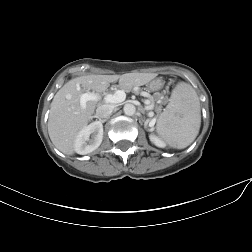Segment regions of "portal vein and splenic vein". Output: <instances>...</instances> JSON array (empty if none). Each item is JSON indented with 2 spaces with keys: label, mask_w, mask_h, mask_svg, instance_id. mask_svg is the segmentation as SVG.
Masks as SVG:
<instances>
[{
  "label": "portal vein and splenic vein",
  "mask_w": 252,
  "mask_h": 252,
  "mask_svg": "<svg viewBox=\"0 0 252 252\" xmlns=\"http://www.w3.org/2000/svg\"><path fill=\"white\" fill-rule=\"evenodd\" d=\"M125 98H126L125 92L123 90H117L114 94H107L104 97V101L107 103H120L124 101ZM99 100H101L100 94L94 93V92H85L84 94H82L80 98V105L82 108H85L87 101H99ZM145 104H148V103L145 102ZM146 109L150 110L151 107L147 106ZM149 116H153V113L150 112Z\"/></svg>",
  "instance_id": "1"
}]
</instances>
